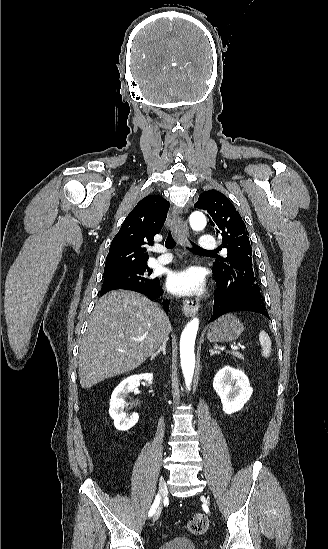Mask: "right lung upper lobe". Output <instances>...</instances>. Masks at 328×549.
Listing matches in <instances>:
<instances>
[{"label": "right lung upper lobe", "instance_id": "obj_1", "mask_svg": "<svg viewBox=\"0 0 328 549\" xmlns=\"http://www.w3.org/2000/svg\"><path fill=\"white\" fill-rule=\"evenodd\" d=\"M169 207L162 196L149 195L138 202L112 240L104 272L146 264V247L153 245Z\"/></svg>", "mask_w": 328, "mask_h": 549}]
</instances>
